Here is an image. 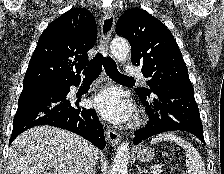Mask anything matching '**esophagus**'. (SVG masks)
<instances>
[{"label":"esophagus","mask_w":224,"mask_h":174,"mask_svg":"<svg viewBox=\"0 0 224 174\" xmlns=\"http://www.w3.org/2000/svg\"><path fill=\"white\" fill-rule=\"evenodd\" d=\"M102 23H101V31L99 34V43L101 51L107 55L108 53V44L110 40V36L113 32L115 19L113 12L111 10L105 9L103 11ZM107 140L111 146L115 147L120 142V134L114 129L107 130Z\"/></svg>","instance_id":"1"}]
</instances>
